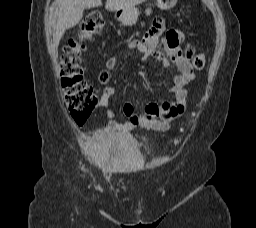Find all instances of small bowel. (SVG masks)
<instances>
[{
    "mask_svg": "<svg viewBox=\"0 0 256 228\" xmlns=\"http://www.w3.org/2000/svg\"><path fill=\"white\" fill-rule=\"evenodd\" d=\"M165 23L161 18H156L150 29L140 39H132L128 42L127 47L130 50L137 51L141 54L142 60H157L165 68L174 66L178 73L174 76L170 92L173 94V101L163 102L161 104L149 103L140 114L134 112L132 104L123 105V113L127 117L126 122H120L115 118L111 110L106 111L109 118L107 126L96 133L97 137L112 133H126L136 128H144L152 131H166L171 123L184 114L186 110V86L194 79V68L191 64L193 58V48L187 47L184 51L181 47L184 36L180 31L169 30L165 33ZM162 45L163 50L159 49ZM117 62L115 56H110L106 60V69L102 70L99 75V81L107 85L110 81L112 70ZM115 90L111 86L103 89L100 105L106 108L110 98Z\"/></svg>",
    "mask_w": 256,
    "mask_h": 228,
    "instance_id": "small-bowel-1",
    "label": "small bowel"
}]
</instances>
